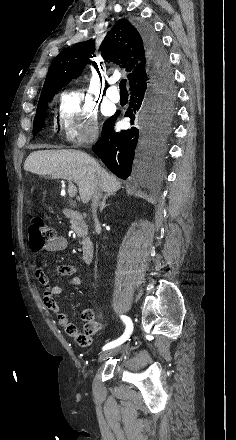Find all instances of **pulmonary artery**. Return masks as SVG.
Masks as SVG:
<instances>
[{
    "mask_svg": "<svg viewBox=\"0 0 236 440\" xmlns=\"http://www.w3.org/2000/svg\"><path fill=\"white\" fill-rule=\"evenodd\" d=\"M106 95L112 102H118L120 100V94L115 87H110Z\"/></svg>",
    "mask_w": 236,
    "mask_h": 440,
    "instance_id": "pulmonary-artery-1",
    "label": "pulmonary artery"
}]
</instances>
